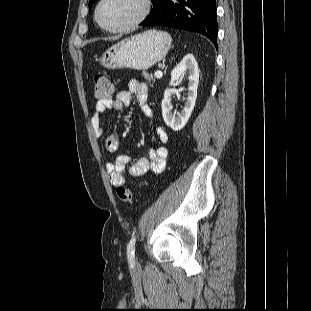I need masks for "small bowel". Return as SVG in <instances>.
Segmentation results:
<instances>
[{
    "mask_svg": "<svg viewBox=\"0 0 311 311\" xmlns=\"http://www.w3.org/2000/svg\"><path fill=\"white\" fill-rule=\"evenodd\" d=\"M133 96L136 97L138 106L142 113L150 120H154V113L148 103V87L146 84L132 79L128 89L119 91L114 99L97 101L94 111L90 117V127L93 134L99 137L102 134V116L107 110L121 112L124 107L129 106ZM156 136L161 144L169 140L166 130L160 126L155 128ZM120 140L116 132L107 135L105 147L109 152H116L119 149ZM168 150L165 146L151 148L148 156L133 161L128 154H120L113 160L107 162L106 172L110 183L117 187L125 181V174L133 177L143 176L148 172L160 173L166 163Z\"/></svg>",
    "mask_w": 311,
    "mask_h": 311,
    "instance_id": "obj_1",
    "label": "small bowel"
}]
</instances>
